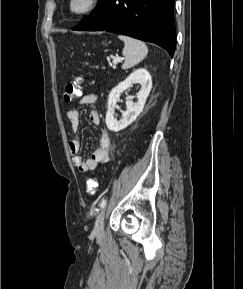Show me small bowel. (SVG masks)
Returning <instances> with one entry per match:
<instances>
[{"instance_id":"1","label":"small bowel","mask_w":243,"mask_h":289,"mask_svg":"<svg viewBox=\"0 0 243 289\" xmlns=\"http://www.w3.org/2000/svg\"><path fill=\"white\" fill-rule=\"evenodd\" d=\"M98 100L96 92L88 93L82 96L80 104H93ZM70 122V127L73 132H77L80 126V115L77 109H71L67 113ZM89 119L94 125L100 124L99 112L95 109L89 113ZM111 142L108 132L101 128L99 131L98 147L91 153L89 158L83 159L80 154V141L78 138H73L69 142V152L72 156L73 165L80 172H88L94 170L100 163L107 162L109 159Z\"/></svg>"}]
</instances>
